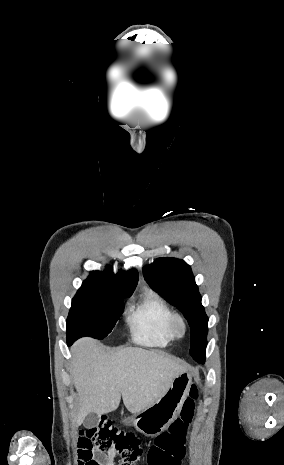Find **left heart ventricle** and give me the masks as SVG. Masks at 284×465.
Segmentation results:
<instances>
[{
	"instance_id": "left-heart-ventricle-1",
	"label": "left heart ventricle",
	"mask_w": 284,
	"mask_h": 465,
	"mask_svg": "<svg viewBox=\"0 0 284 465\" xmlns=\"http://www.w3.org/2000/svg\"><path fill=\"white\" fill-rule=\"evenodd\" d=\"M178 331H179V333H181V332H182V329H181V327H178Z\"/></svg>"
}]
</instances>
